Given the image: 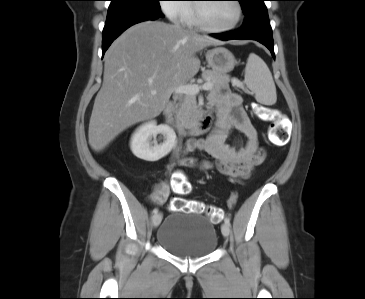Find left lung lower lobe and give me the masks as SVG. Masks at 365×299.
Instances as JSON below:
<instances>
[{
    "label": "left lung lower lobe",
    "mask_w": 365,
    "mask_h": 299,
    "mask_svg": "<svg viewBox=\"0 0 365 299\" xmlns=\"http://www.w3.org/2000/svg\"><path fill=\"white\" fill-rule=\"evenodd\" d=\"M245 16L246 19L241 29L212 34V36L221 40H256L265 45L270 50L273 58H275L272 29L269 23L267 8L265 6L259 7Z\"/></svg>",
    "instance_id": "left-lung-lower-lobe-1"
}]
</instances>
